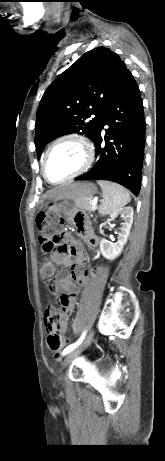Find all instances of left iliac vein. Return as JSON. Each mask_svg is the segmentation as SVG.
Masks as SVG:
<instances>
[{
  "label": "left iliac vein",
  "mask_w": 165,
  "mask_h": 461,
  "mask_svg": "<svg viewBox=\"0 0 165 461\" xmlns=\"http://www.w3.org/2000/svg\"><path fill=\"white\" fill-rule=\"evenodd\" d=\"M93 336H94V332L93 330H91L87 338L85 339V341L82 343V345L65 356L62 366L66 367L69 363H71V361L74 358H76L91 343Z\"/></svg>",
  "instance_id": "obj_1"
}]
</instances>
